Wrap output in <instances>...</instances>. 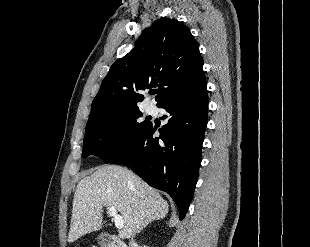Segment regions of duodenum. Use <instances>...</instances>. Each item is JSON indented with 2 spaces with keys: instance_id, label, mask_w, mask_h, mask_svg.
<instances>
[{
  "instance_id": "1",
  "label": "duodenum",
  "mask_w": 310,
  "mask_h": 247,
  "mask_svg": "<svg viewBox=\"0 0 310 247\" xmlns=\"http://www.w3.org/2000/svg\"><path fill=\"white\" fill-rule=\"evenodd\" d=\"M101 243L103 247H127V245L117 236L109 233L102 234Z\"/></svg>"
}]
</instances>
